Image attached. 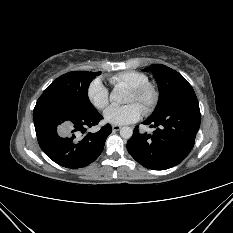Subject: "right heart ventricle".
<instances>
[{
  "label": "right heart ventricle",
  "mask_w": 233,
  "mask_h": 233,
  "mask_svg": "<svg viewBox=\"0 0 233 233\" xmlns=\"http://www.w3.org/2000/svg\"><path fill=\"white\" fill-rule=\"evenodd\" d=\"M109 81L113 85L124 84L129 88L139 86L143 83L149 82V78L146 74L138 71H123L110 77Z\"/></svg>",
  "instance_id": "right-heart-ventricle-1"
}]
</instances>
